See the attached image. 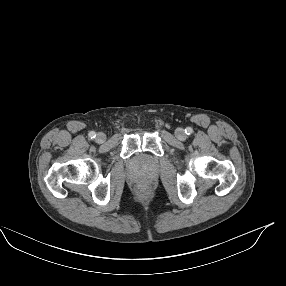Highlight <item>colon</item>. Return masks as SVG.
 <instances>
[{"label": "colon", "mask_w": 286, "mask_h": 286, "mask_svg": "<svg viewBox=\"0 0 286 286\" xmlns=\"http://www.w3.org/2000/svg\"><path fill=\"white\" fill-rule=\"evenodd\" d=\"M137 190H138L140 193L145 194V193H147V191H148V186H147L146 184H139V185L137 186Z\"/></svg>", "instance_id": "1"}]
</instances>
